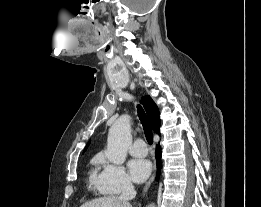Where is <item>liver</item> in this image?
Returning a JSON list of instances; mask_svg holds the SVG:
<instances>
[{"label": "liver", "mask_w": 261, "mask_h": 207, "mask_svg": "<svg viewBox=\"0 0 261 207\" xmlns=\"http://www.w3.org/2000/svg\"><path fill=\"white\" fill-rule=\"evenodd\" d=\"M80 207H132L118 196H104L84 203Z\"/></svg>", "instance_id": "6515ba94"}]
</instances>
